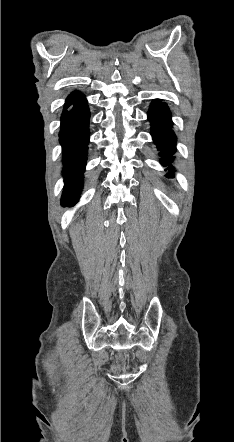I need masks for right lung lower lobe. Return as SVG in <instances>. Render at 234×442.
<instances>
[{"instance_id": "1", "label": "right lung lower lobe", "mask_w": 234, "mask_h": 442, "mask_svg": "<svg viewBox=\"0 0 234 442\" xmlns=\"http://www.w3.org/2000/svg\"><path fill=\"white\" fill-rule=\"evenodd\" d=\"M71 108L67 110L68 107ZM89 109L85 97L72 93L61 117L60 143L63 147L65 190L62 206H73L79 199L89 141Z\"/></svg>"}]
</instances>
